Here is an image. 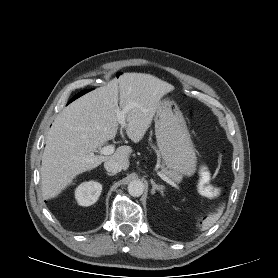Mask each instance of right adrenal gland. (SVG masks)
<instances>
[{
  "label": "right adrenal gland",
  "mask_w": 278,
  "mask_h": 278,
  "mask_svg": "<svg viewBox=\"0 0 278 278\" xmlns=\"http://www.w3.org/2000/svg\"><path fill=\"white\" fill-rule=\"evenodd\" d=\"M108 176H114L112 173L105 172Z\"/></svg>",
  "instance_id": "obj_1"
}]
</instances>
